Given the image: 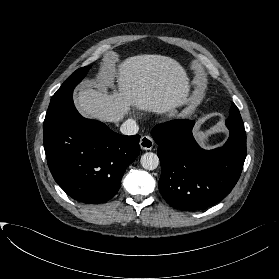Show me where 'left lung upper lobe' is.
<instances>
[{"label": "left lung upper lobe", "mask_w": 279, "mask_h": 279, "mask_svg": "<svg viewBox=\"0 0 279 279\" xmlns=\"http://www.w3.org/2000/svg\"><path fill=\"white\" fill-rule=\"evenodd\" d=\"M226 124H230L239 128H244L240 112L236 105L233 103L229 111V118L226 120Z\"/></svg>", "instance_id": "obj_1"}]
</instances>
